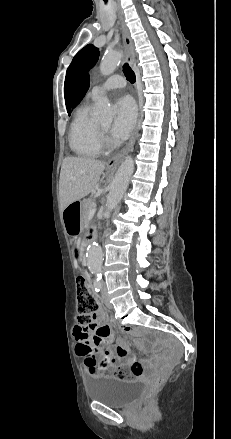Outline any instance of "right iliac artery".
<instances>
[{
    "mask_svg": "<svg viewBox=\"0 0 231 439\" xmlns=\"http://www.w3.org/2000/svg\"><path fill=\"white\" fill-rule=\"evenodd\" d=\"M94 288H95V291H96V292H99V291H100V289H101V280H100L99 278H97V279L94 281Z\"/></svg>",
    "mask_w": 231,
    "mask_h": 439,
    "instance_id": "1",
    "label": "right iliac artery"
}]
</instances>
